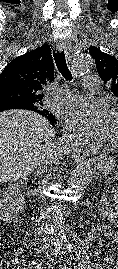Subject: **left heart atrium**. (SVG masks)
<instances>
[{"instance_id": "1", "label": "left heart atrium", "mask_w": 118, "mask_h": 269, "mask_svg": "<svg viewBox=\"0 0 118 269\" xmlns=\"http://www.w3.org/2000/svg\"><path fill=\"white\" fill-rule=\"evenodd\" d=\"M110 113L103 101H82L66 109L63 119L76 137L81 140L96 139L105 135Z\"/></svg>"}]
</instances>
